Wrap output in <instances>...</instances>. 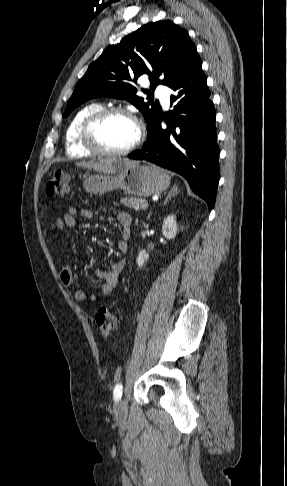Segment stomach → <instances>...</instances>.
Instances as JSON below:
<instances>
[{"label":"stomach","instance_id":"1","mask_svg":"<svg viewBox=\"0 0 287 486\" xmlns=\"http://www.w3.org/2000/svg\"><path fill=\"white\" fill-rule=\"evenodd\" d=\"M170 176L153 165L134 164L124 166L113 174H96L88 176L83 187L89 193L104 194L116 189L137 196L148 197L168 188Z\"/></svg>","mask_w":287,"mask_h":486}]
</instances>
